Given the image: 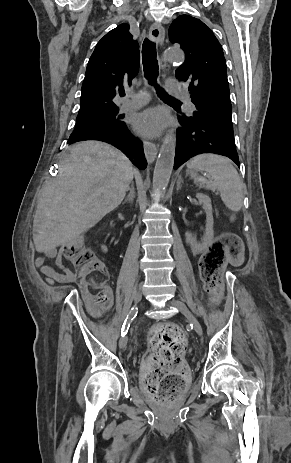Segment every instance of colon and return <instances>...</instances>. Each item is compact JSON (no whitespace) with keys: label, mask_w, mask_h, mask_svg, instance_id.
<instances>
[{"label":"colon","mask_w":291,"mask_h":463,"mask_svg":"<svg viewBox=\"0 0 291 463\" xmlns=\"http://www.w3.org/2000/svg\"><path fill=\"white\" fill-rule=\"evenodd\" d=\"M61 254L76 269L89 312L98 316L112 301L105 287L106 271L82 239H74L61 248ZM240 241L234 233H224L212 242L200 262L208 291L219 293L226 259H238ZM151 350L143 363V386L154 399L162 402L179 396L185 385L186 366L183 356L187 346L185 334L175 324L156 327L149 337Z\"/></svg>","instance_id":"1"}]
</instances>
